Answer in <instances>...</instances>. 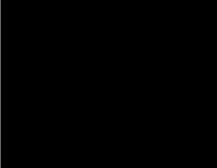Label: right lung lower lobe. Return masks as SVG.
<instances>
[{
    "instance_id": "1",
    "label": "right lung lower lobe",
    "mask_w": 217,
    "mask_h": 168,
    "mask_svg": "<svg viewBox=\"0 0 217 168\" xmlns=\"http://www.w3.org/2000/svg\"><path fill=\"white\" fill-rule=\"evenodd\" d=\"M96 106L72 91L39 109L29 110V119L38 132L51 142L74 144L88 133Z\"/></svg>"
}]
</instances>
